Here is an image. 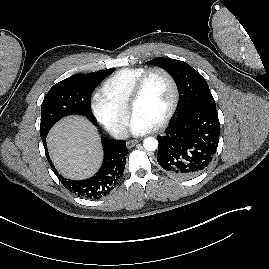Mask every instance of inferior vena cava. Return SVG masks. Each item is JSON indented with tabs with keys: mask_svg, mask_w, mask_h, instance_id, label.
Segmentation results:
<instances>
[{
	"mask_svg": "<svg viewBox=\"0 0 269 269\" xmlns=\"http://www.w3.org/2000/svg\"><path fill=\"white\" fill-rule=\"evenodd\" d=\"M111 135L116 139L124 140L128 137V131L124 127H118L111 131Z\"/></svg>",
	"mask_w": 269,
	"mask_h": 269,
	"instance_id": "obj_1",
	"label": "inferior vena cava"
}]
</instances>
